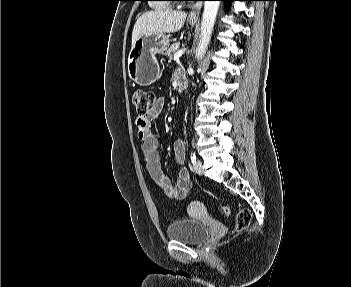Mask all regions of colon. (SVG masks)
<instances>
[{
	"label": "colon",
	"mask_w": 351,
	"mask_h": 287,
	"mask_svg": "<svg viewBox=\"0 0 351 287\" xmlns=\"http://www.w3.org/2000/svg\"><path fill=\"white\" fill-rule=\"evenodd\" d=\"M156 97L155 94L146 89H137L132 94V101L136 108V113L138 116H146L149 110L153 107ZM222 214L224 216L230 215V209L227 206L222 208ZM252 214L249 209L243 208L239 210L236 215V228L244 229L246 228L251 221Z\"/></svg>",
	"instance_id": "obj_1"
}]
</instances>
